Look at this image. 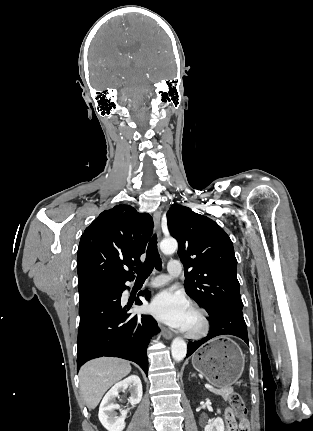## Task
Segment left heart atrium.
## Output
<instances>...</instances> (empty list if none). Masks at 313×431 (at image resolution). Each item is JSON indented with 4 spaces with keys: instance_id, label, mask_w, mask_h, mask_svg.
Listing matches in <instances>:
<instances>
[{
    "instance_id": "1",
    "label": "left heart atrium",
    "mask_w": 313,
    "mask_h": 431,
    "mask_svg": "<svg viewBox=\"0 0 313 431\" xmlns=\"http://www.w3.org/2000/svg\"><path fill=\"white\" fill-rule=\"evenodd\" d=\"M150 311L158 320L170 326L188 329L191 305L182 293L170 290L158 293L150 304Z\"/></svg>"
}]
</instances>
